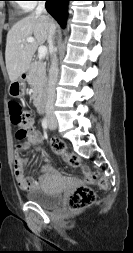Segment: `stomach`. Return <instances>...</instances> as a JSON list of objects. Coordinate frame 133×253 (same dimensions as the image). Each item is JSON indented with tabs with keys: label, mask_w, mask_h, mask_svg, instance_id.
<instances>
[{
	"label": "stomach",
	"mask_w": 133,
	"mask_h": 253,
	"mask_svg": "<svg viewBox=\"0 0 133 253\" xmlns=\"http://www.w3.org/2000/svg\"><path fill=\"white\" fill-rule=\"evenodd\" d=\"M26 84L24 78L11 82L8 92L12 97H22L25 94Z\"/></svg>",
	"instance_id": "1"
}]
</instances>
